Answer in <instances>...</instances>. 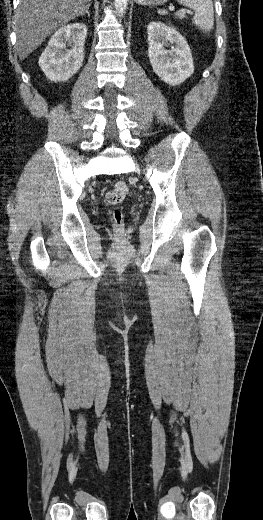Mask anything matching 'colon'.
Returning a JSON list of instances; mask_svg holds the SVG:
<instances>
[{"mask_svg": "<svg viewBox=\"0 0 263 520\" xmlns=\"http://www.w3.org/2000/svg\"><path fill=\"white\" fill-rule=\"evenodd\" d=\"M129 187L123 181H117L114 183L112 188L106 193V201L110 205L120 204L128 195ZM113 223L117 228H120L123 224V214L121 210L115 209L112 212Z\"/></svg>", "mask_w": 263, "mask_h": 520, "instance_id": "colon-1", "label": "colon"}]
</instances>
